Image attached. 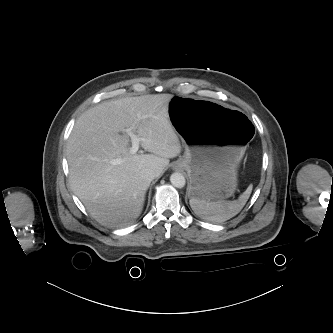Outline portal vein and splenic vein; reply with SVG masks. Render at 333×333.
Wrapping results in <instances>:
<instances>
[{
    "label": "portal vein and splenic vein",
    "instance_id": "1",
    "mask_svg": "<svg viewBox=\"0 0 333 333\" xmlns=\"http://www.w3.org/2000/svg\"><path fill=\"white\" fill-rule=\"evenodd\" d=\"M123 131L131 138L132 146L130 147V150H129L130 154L137 153L140 142L149 141L145 138L138 137L130 128L124 129ZM122 162H123V160L121 158L113 159L111 161V163L113 165L121 164Z\"/></svg>",
    "mask_w": 333,
    "mask_h": 333
}]
</instances>
